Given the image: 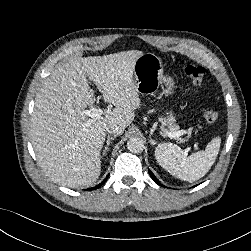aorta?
Returning <instances> with one entry per match:
<instances>
[{
    "mask_svg": "<svg viewBox=\"0 0 251 251\" xmlns=\"http://www.w3.org/2000/svg\"><path fill=\"white\" fill-rule=\"evenodd\" d=\"M127 148L132 153H141L144 149V141L140 137H130L127 141Z\"/></svg>",
    "mask_w": 251,
    "mask_h": 251,
    "instance_id": "aorta-1",
    "label": "aorta"
}]
</instances>
